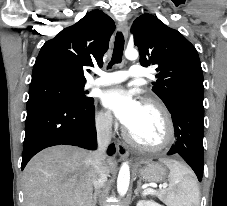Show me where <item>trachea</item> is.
<instances>
[{
  "label": "trachea",
  "mask_w": 227,
  "mask_h": 206,
  "mask_svg": "<svg viewBox=\"0 0 227 206\" xmlns=\"http://www.w3.org/2000/svg\"><path fill=\"white\" fill-rule=\"evenodd\" d=\"M124 49V36L122 32H117L114 44V50L112 60L110 61L108 68H111L114 64L121 63Z\"/></svg>",
  "instance_id": "obj_1"
}]
</instances>
